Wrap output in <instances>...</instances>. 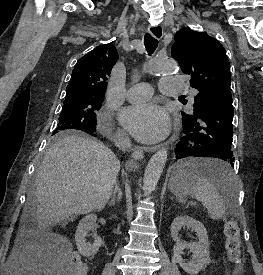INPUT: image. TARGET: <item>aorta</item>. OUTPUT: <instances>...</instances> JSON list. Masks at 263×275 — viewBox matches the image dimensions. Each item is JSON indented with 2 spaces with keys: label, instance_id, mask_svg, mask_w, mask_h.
<instances>
[{
  "label": "aorta",
  "instance_id": "aorta-1",
  "mask_svg": "<svg viewBox=\"0 0 263 275\" xmlns=\"http://www.w3.org/2000/svg\"><path fill=\"white\" fill-rule=\"evenodd\" d=\"M176 68L177 64L173 60L154 59L147 65L146 71L154 74H169L176 71ZM167 157L168 151L166 149H161L158 150L149 160L143 177L144 196H149L157 186V183L165 167Z\"/></svg>",
  "mask_w": 263,
  "mask_h": 275
}]
</instances>
